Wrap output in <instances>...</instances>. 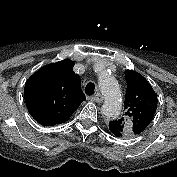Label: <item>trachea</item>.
Instances as JSON below:
<instances>
[{"mask_svg": "<svg viewBox=\"0 0 177 177\" xmlns=\"http://www.w3.org/2000/svg\"><path fill=\"white\" fill-rule=\"evenodd\" d=\"M95 91V85L92 82H89L86 87H85V92L87 95H92L94 94Z\"/></svg>", "mask_w": 177, "mask_h": 177, "instance_id": "trachea-1", "label": "trachea"}]
</instances>
